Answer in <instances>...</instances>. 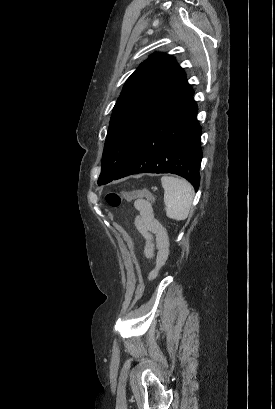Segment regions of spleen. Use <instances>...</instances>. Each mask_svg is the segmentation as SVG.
Masks as SVG:
<instances>
[{
	"label": "spleen",
	"instance_id": "spleen-1",
	"mask_svg": "<svg viewBox=\"0 0 275 409\" xmlns=\"http://www.w3.org/2000/svg\"><path fill=\"white\" fill-rule=\"evenodd\" d=\"M164 205L167 217L175 221L187 219L192 207L194 188L185 178L162 176Z\"/></svg>",
	"mask_w": 275,
	"mask_h": 409
}]
</instances>
